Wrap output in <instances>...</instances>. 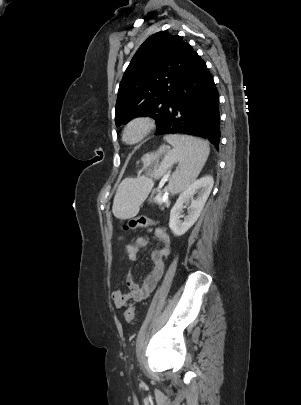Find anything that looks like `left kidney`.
I'll list each match as a JSON object with an SVG mask.
<instances>
[{
	"mask_svg": "<svg viewBox=\"0 0 301 405\" xmlns=\"http://www.w3.org/2000/svg\"><path fill=\"white\" fill-rule=\"evenodd\" d=\"M214 181L211 176H205L190 184L179 196L170 212L169 227L175 236L185 234L197 221L210 195ZM197 194L194 200L193 196ZM191 200V204L189 202ZM184 205H189L188 214L181 221Z\"/></svg>",
	"mask_w": 301,
	"mask_h": 405,
	"instance_id": "left-kidney-1",
	"label": "left kidney"
}]
</instances>
